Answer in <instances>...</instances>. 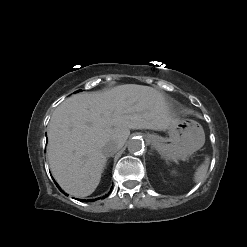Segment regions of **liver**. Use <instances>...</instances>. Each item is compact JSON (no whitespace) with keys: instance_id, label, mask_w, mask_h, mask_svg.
I'll use <instances>...</instances> for the list:
<instances>
[{"instance_id":"1","label":"liver","mask_w":247,"mask_h":247,"mask_svg":"<svg viewBox=\"0 0 247 247\" xmlns=\"http://www.w3.org/2000/svg\"><path fill=\"white\" fill-rule=\"evenodd\" d=\"M175 120L164 96L149 86L124 84L73 95L55 109L48 125L52 175L70 195L89 196L107 162L106 143L121 148L131 129L164 131Z\"/></svg>"}]
</instances>
